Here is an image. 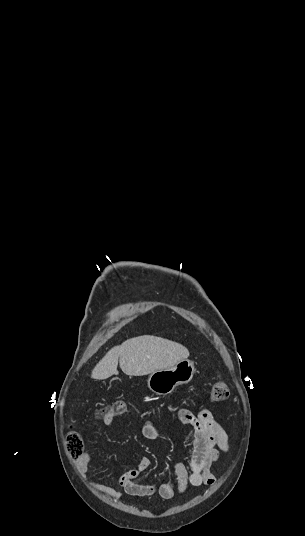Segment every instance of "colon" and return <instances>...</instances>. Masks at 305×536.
<instances>
[{
    "label": "colon",
    "instance_id": "obj_1",
    "mask_svg": "<svg viewBox=\"0 0 305 536\" xmlns=\"http://www.w3.org/2000/svg\"><path fill=\"white\" fill-rule=\"evenodd\" d=\"M229 395L228 386L225 381H216L210 391L209 401L213 404L223 402L227 399ZM127 408V402L118 400L111 405L101 408L98 411H101L100 417H96L99 421L105 423V417L107 415H114L118 417L122 415ZM64 445L68 446L67 450L70 454L71 460H77L78 454L82 451V446L84 445V436L83 435H65L64 436Z\"/></svg>",
    "mask_w": 305,
    "mask_h": 536
}]
</instances>
